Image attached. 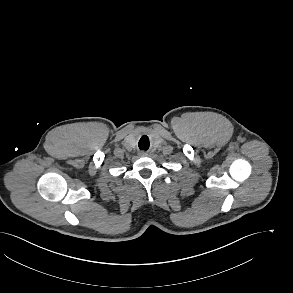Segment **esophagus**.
I'll use <instances>...</instances> for the list:
<instances>
[{
  "label": "esophagus",
  "mask_w": 293,
  "mask_h": 293,
  "mask_svg": "<svg viewBox=\"0 0 293 293\" xmlns=\"http://www.w3.org/2000/svg\"><path fill=\"white\" fill-rule=\"evenodd\" d=\"M146 155H147L146 152H144V151L140 152V156H146Z\"/></svg>",
  "instance_id": "34e87169"
}]
</instances>
